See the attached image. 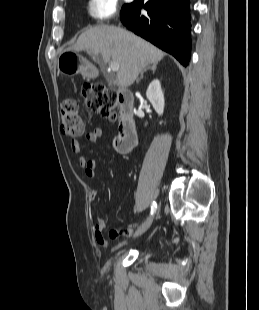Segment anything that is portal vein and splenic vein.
<instances>
[{"mask_svg": "<svg viewBox=\"0 0 259 310\" xmlns=\"http://www.w3.org/2000/svg\"><path fill=\"white\" fill-rule=\"evenodd\" d=\"M109 69H111L114 72L118 71L119 70V63L111 61L109 63Z\"/></svg>", "mask_w": 259, "mask_h": 310, "instance_id": "obj_1", "label": "portal vein and splenic vein"}]
</instances>
